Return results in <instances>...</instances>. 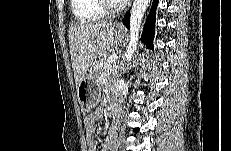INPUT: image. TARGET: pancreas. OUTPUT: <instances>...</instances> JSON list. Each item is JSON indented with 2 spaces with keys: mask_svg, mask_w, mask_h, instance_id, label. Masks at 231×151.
Wrapping results in <instances>:
<instances>
[{
  "mask_svg": "<svg viewBox=\"0 0 231 151\" xmlns=\"http://www.w3.org/2000/svg\"><path fill=\"white\" fill-rule=\"evenodd\" d=\"M117 70L116 62L108 63L106 58L101 59L95 65L96 77L99 81Z\"/></svg>",
  "mask_w": 231,
  "mask_h": 151,
  "instance_id": "obj_1",
  "label": "pancreas"
}]
</instances>
